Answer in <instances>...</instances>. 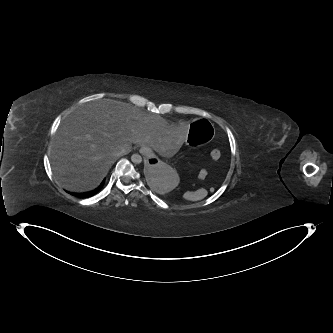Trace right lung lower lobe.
I'll return each mask as SVG.
<instances>
[{
	"label": "right lung lower lobe",
	"instance_id": "98d812e1",
	"mask_svg": "<svg viewBox=\"0 0 333 333\" xmlns=\"http://www.w3.org/2000/svg\"><path fill=\"white\" fill-rule=\"evenodd\" d=\"M104 183H105V179L103 180L101 185L98 188H96L95 190L90 191V192H85V193H76L74 195L79 198H87V197L93 196L94 194L98 193L102 189Z\"/></svg>",
	"mask_w": 333,
	"mask_h": 333
}]
</instances>
